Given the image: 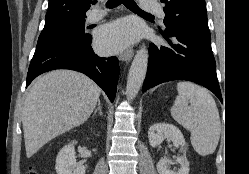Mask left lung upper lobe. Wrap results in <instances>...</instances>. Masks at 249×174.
I'll return each mask as SVG.
<instances>
[{
    "mask_svg": "<svg viewBox=\"0 0 249 174\" xmlns=\"http://www.w3.org/2000/svg\"><path fill=\"white\" fill-rule=\"evenodd\" d=\"M165 5V33H210L205 0H161Z\"/></svg>",
    "mask_w": 249,
    "mask_h": 174,
    "instance_id": "1",
    "label": "left lung upper lobe"
}]
</instances>
